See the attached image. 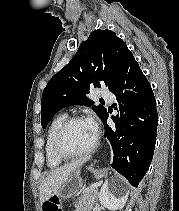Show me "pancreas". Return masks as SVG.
<instances>
[{
	"instance_id": "obj_1",
	"label": "pancreas",
	"mask_w": 179,
	"mask_h": 211,
	"mask_svg": "<svg viewBox=\"0 0 179 211\" xmlns=\"http://www.w3.org/2000/svg\"><path fill=\"white\" fill-rule=\"evenodd\" d=\"M98 189L96 185H91L84 189L75 203V211H91L97 200Z\"/></svg>"
}]
</instances>
